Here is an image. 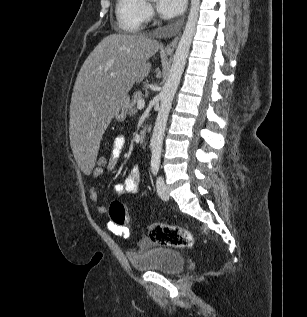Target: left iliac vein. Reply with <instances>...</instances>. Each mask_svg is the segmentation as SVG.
Returning a JSON list of instances; mask_svg holds the SVG:
<instances>
[{
    "label": "left iliac vein",
    "mask_w": 307,
    "mask_h": 317,
    "mask_svg": "<svg viewBox=\"0 0 307 317\" xmlns=\"http://www.w3.org/2000/svg\"><path fill=\"white\" fill-rule=\"evenodd\" d=\"M156 187H157V193L159 197L164 201L169 200L168 188L162 177L157 178Z\"/></svg>",
    "instance_id": "1"
}]
</instances>
